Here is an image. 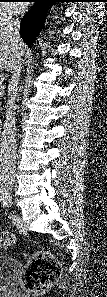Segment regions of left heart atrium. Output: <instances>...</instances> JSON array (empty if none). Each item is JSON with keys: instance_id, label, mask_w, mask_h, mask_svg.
<instances>
[{"instance_id": "left-heart-atrium-1", "label": "left heart atrium", "mask_w": 107, "mask_h": 297, "mask_svg": "<svg viewBox=\"0 0 107 297\" xmlns=\"http://www.w3.org/2000/svg\"><path fill=\"white\" fill-rule=\"evenodd\" d=\"M9 8L15 13H22L25 10V5L22 3H10Z\"/></svg>"}]
</instances>
